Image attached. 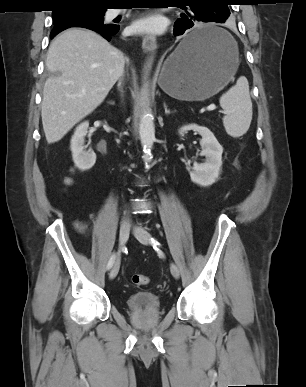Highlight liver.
Segmentation results:
<instances>
[{"mask_svg": "<svg viewBox=\"0 0 306 387\" xmlns=\"http://www.w3.org/2000/svg\"><path fill=\"white\" fill-rule=\"evenodd\" d=\"M124 63L122 52L88 29H68L51 42L46 67L55 75L45 82L41 107L49 144L61 140L104 101Z\"/></svg>", "mask_w": 306, "mask_h": 387, "instance_id": "obj_1", "label": "liver"}]
</instances>
